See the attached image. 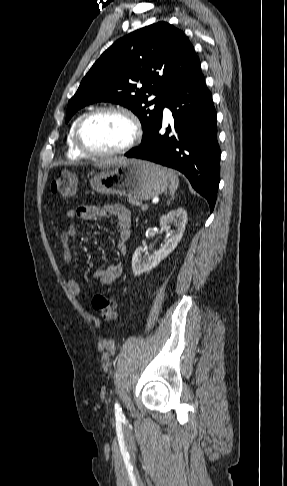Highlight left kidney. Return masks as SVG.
Here are the masks:
<instances>
[{
	"label": "left kidney",
	"mask_w": 287,
	"mask_h": 486,
	"mask_svg": "<svg viewBox=\"0 0 287 486\" xmlns=\"http://www.w3.org/2000/svg\"><path fill=\"white\" fill-rule=\"evenodd\" d=\"M188 221L187 212L178 208L160 217V226L166 232L165 244L153 255L143 247H138L132 257V271L135 276L149 272L165 259L178 245ZM175 226V231H170V225Z\"/></svg>",
	"instance_id": "left-kidney-1"
}]
</instances>
